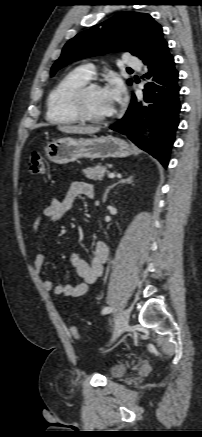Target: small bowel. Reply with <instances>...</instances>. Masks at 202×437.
Segmentation results:
<instances>
[{
  "label": "small bowel",
  "instance_id": "small-bowel-1",
  "mask_svg": "<svg viewBox=\"0 0 202 437\" xmlns=\"http://www.w3.org/2000/svg\"><path fill=\"white\" fill-rule=\"evenodd\" d=\"M94 196L93 185L84 182H74L69 187L63 199L52 198L49 205L44 207L36 216L32 230L35 235L39 233L40 225L43 219L52 223L58 221L65 214L71 212L74 208L75 200L78 197L92 198ZM108 248L105 243L99 241L94 246L91 259L88 261L79 253H72L70 263L80 277L79 283L55 284L52 280L47 279L43 282V288L47 292H53L55 295H64L69 297H79L86 294L99 276L103 272V266L107 259ZM45 256L40 250L35 255L34 269L37 274L41 273L44 265Z\"/></svg>",
  "mask_w": 202,
  "mask_h": 437
}]
</instances>
